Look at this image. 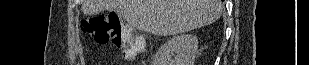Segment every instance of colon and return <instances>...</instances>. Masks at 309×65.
<instances>
[{
	"instance_id": "5ec220e1",
	"label": "colon",
	"mask_w": 309,
	"mask_h": 65,
	"mask_svg": "<svg viewBox=\"0 0 309 65\" xmlns=\"http://www.w3.org/2000/svg\"><path fill=\"white\" fill-rule=\"evenodd\" d=\"M80 27L82 32L97 44L111 43L121 51L122 56L126 59L135 57L143 49V42L134 36L131 29L125 24H120L111 15L84 18Z\"/></svg>"
}]
</instances>
